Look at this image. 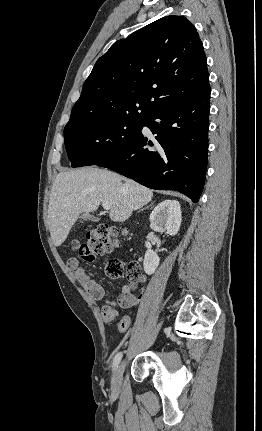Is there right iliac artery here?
I'll use <instances>...</instances> for the list:
<instances>
[{
	"instance_id": "obj_1",
	"label": "right iliac artery",
	"mask_w": 262,
	"mask_h": 431,
	"mask_svg": "<svg viewBox=\"0 0 262 431\" xmlns=\"http://www.w3.org/2000/svg\"><path fill=\"white\" fill-rule=\"evenodd\" d=\"M121 358H122V352L117 353L113 360V369H115L118 366Z\"/></svg>"
}]
</instances>
